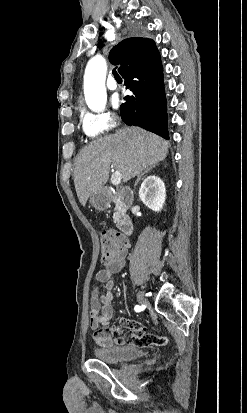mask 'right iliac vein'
<instances>
[{"label": "right iliac vein", "instance_id": "obj_1", "mask_svg": "<svg viewBox=\"0 0 247 413\" xmlns=\"http://www.w3.org/2000/svg\"><path fill=\"white\" fill-rule=\"evenodd\" d=\"M136 298H137V301H138L139 303H145V302L147 301L146 296H145L143 293H141V292H139V293L137 294Z\"/></svg>", "mask_w": 247, "mask_h": 413}]
</instances>
